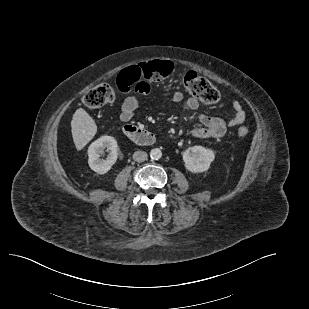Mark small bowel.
I'll return each mask as SVG.
<instances>
[{"mask_svg": "<svg viewBox=\"0 0 309 309\" xmlns=\"http://www.w3.org/2000/svg\"><path fill=\"white\" fill-rule=\"evenodd\" d=\"M117 84L120 90L128 92L134 90L136 95L128 96L124 99L120 110V119L123 122H130L134 117L140 104L145 100H152L150 94V86L148 83L143 84L139 88H134V84L126 76H122L121 73L117 77ZM168 100L175 104H180L183 111L196 110L199 107V101L194 97L184 99L183 94L180 91H172L165 94ZM234 110V116L226 121L220 117L211 116L207 114H199L198 118L202 126H199L192 130V135L196 138H221L224 136L228 128L238 126L245 120V112L239 101L233 100L231 102Z\"/></svg>", "mask_w": 309, "mask_h": 309, "instance_id": "small-bowel-1", "label": "small bowel"}]
</instances>
